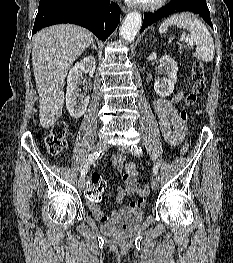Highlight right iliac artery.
Wrapping results in <instances>:
<instances>
[{
  "instance_id": "82829eb1",
  "label": "right iliac artery",
  "mask_w": 233,
  "mask_h": 263,
  "mask_svg": "<svg viewBox=\"0 0 233 263\" xmlns=\"http://www.w3.org/2000/svg\"><path fill=\"white\" fill-rule=\"evenodd\" d=\"M102 152L98 151V152H93L88 156V159L86 160L82 170H81V176L85 177V175L87 174L88 168L89 166L99 157H101Z\"/></svg>"
}]
</instances>
